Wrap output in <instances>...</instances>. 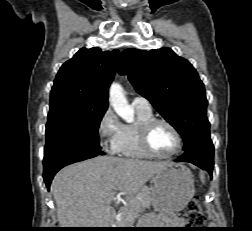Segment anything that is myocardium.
<instances>
[{
  "mask_svg": "<svg viewBox=\"0 0 252 231\" xmlns=\"http://www.w3.org/2000/svg\"><path fill=\"white\" fill-rule=\"evenodd\" d=\"M156 124H164L166 125L174 134L176 141H177V146L173 152H171L168 155H161L158 154L153 150V148L150 145V132L152 128ZM139 141L142 149L150 156L159 158V159H170L174 156H176L180 150L182 149L183 146V139L182 136L179 132V130L168 120L164 118H156L152 117L143 123L140 124L139 126Z\"/></svg>",
  "mask_w": 252,
  "mask_h": 231,
  "instance_id": "1",
  "label": "myocardium"
}]
</instances>
